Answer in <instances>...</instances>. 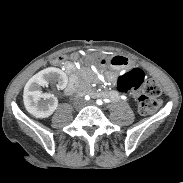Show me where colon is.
<instances>
[{"instance_id": "5ec220e1", "label": "colon", "mask_w": 183, "mask_h": 183, "mask_svg": "<svg viewBox=\"0 0 183 183\" xmlns=\"http://www.w3.org/2000/svg\"><path fill=\"white\" fill-rule=\"evenodd\" d=\"M64 60L63 56H58L55 62L61 63ZM112 63L123 64L124 59L114 57ZM117 89L126 93L132 90L139 91L138 105L142 114L148 115L156 112L161 106V89L158 83L148 78L139 69H133L121 74L117 81Z\"/></svg>"}]
</instances>
